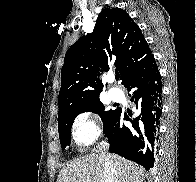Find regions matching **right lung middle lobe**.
I'll return each mask as SVG.
<instances>
[{
	"label": "right lung middle lobe",
	"mask_w": 196,
	"mask_h": 182,
	"mask_svg": "<svg viewBox=\"0 0 196 182\" xmlns=\"http://www.w3.org/2000/svg\"><path fill=\"white\" fill-rule=\"evenodd\" d=\"M94 112L101 116L104 131L110 125L111 120L116 114L117 110L105 111L104 105L100 102L99 97H96L84 104L72 107L58 116V131L62 149H65L70 144V134L73 121L77 115L83 112Z\"/></svg>",
	"instance_id": "right-lung-middle-lobe-1"
}]
</instances>
